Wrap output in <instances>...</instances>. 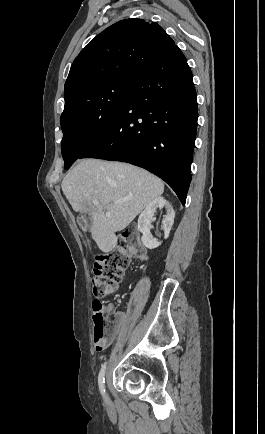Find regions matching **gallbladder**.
<instances>
[{
	"instance_id": "1",
	"label": "gallbladder",
	"mask_w": 265,
	"mask_h": 434,
	"mask_svg": "<svg viewBox=\"0 0 265 434\" xmlns=\"http://www.w3.org/2000/svg\"><path fill=\"white\" fill-rule=\"evenodd\" d=\"M76 220H77L78 224L82 227L83 231L89 230V225L87 224V221L85 220L84 215H82V214L77 215Z\"/></svg>"
}]
</instances>
